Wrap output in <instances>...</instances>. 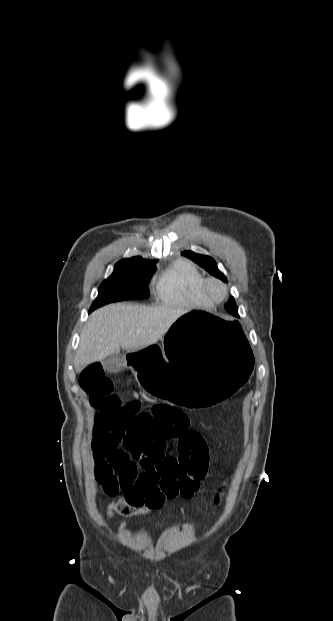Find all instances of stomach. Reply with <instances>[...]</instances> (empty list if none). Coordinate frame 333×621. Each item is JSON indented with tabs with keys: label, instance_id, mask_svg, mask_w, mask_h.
<instances>
[{
	"label": "stomach",
	"instance_id": "0dacf381",
	"mask_svg": "<svg viewBox=\"0 0 333 621\" xmlns=\"http://www.w3.org/2000/svg\"><path fill=\"white\" fill-rule=\"evenodd\" d=\"M252 341L239 322L201 310L183 314L162 341L130 349L128 365L142 390L165 397L176 411L215 412L232 402L254 372Z\"/></svg>",
	"mask_w": 333,
	"mask_h": 621
}]
</instances>
